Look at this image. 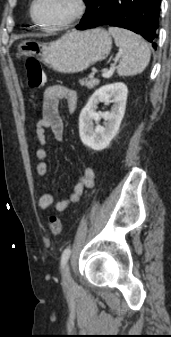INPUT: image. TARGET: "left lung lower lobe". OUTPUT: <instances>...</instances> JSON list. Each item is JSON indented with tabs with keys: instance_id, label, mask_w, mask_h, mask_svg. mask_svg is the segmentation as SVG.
<instances>
[{
	"instance_id": "left-lung-lower-lobe-1",
	"label": "left lung lower lobe",
	"mask_w": 171,
	"mask_h": 337,
	"mask_svg": "<svg viewBox=\"0 0 171 337\" xmlns=\"http://www.w3.org/2000/svg\"><path fill=\"white\" fill-rule=\"evenodd\" d=\"M161 0H91L78 30L101 25L117 26L142 35L149 42L158 37Z\"/></svg>"
}]
</instances>
